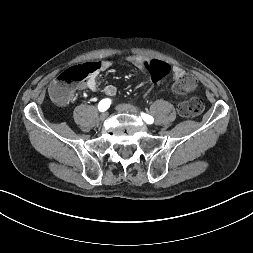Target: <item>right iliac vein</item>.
I'll use <instances>...</instances> for the list:
<instances>
[{"instance_id": "63e3f726", "label": "right iliac vein", "mask_w": 253, "mask_h": 253, "mask_svg": "<svg viewBox=\"0 0 253 253\" xmlns=\"http://www.w3.org/2000/svg\"><path fill=\"white\" fill-rule=\"evenodd\" d=\"M108 117V113L107 112H104L100 115V120L101 121H104L106 118Z\"/></svg>"}]
</instances>
